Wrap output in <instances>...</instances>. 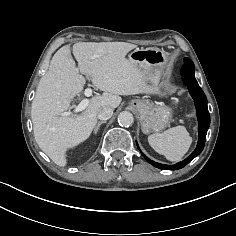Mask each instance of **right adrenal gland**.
<instances>
[{
  "label": "right adrenal gland",
  "mask_w": 236,
  "mask_h": 236,
  "mask_svg": "<svg viewBox=\"0 0 236 236\" xmlns=\"http://www.w3.org/2000/svg\"><path fill=\"white\" fill-rule=\"evenodd\" d=\"M106 122H107L106 120L98 122V125H97L96 128L94 129V134H97V132H98L100 126H101L103 123H106Z\"/></svg>",
  "instance_id": "1"
}]
</instances>
